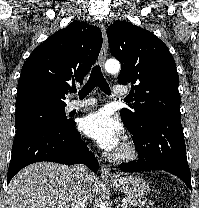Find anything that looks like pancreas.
Returning a JSON list of instances; mask_svg holds the SVG:
<instances>
[{"label": "pancreas", "mask_w": 199, "mask_h": 208, "mask_svg": "<svg viewBox=\"0 0 199 208\" xmlns=\"http://www.w3.org/2000/svg\"><path fill=\"white\" fill-rule=\"evenodd\" d=\"M127 201H128V205L133 207H137V206L141 207L145 205V203L140 200L128 199ZM146 208H149V206H147Z\"/></svg>", "instance_id": "cf45deb5"}]
</instances>
